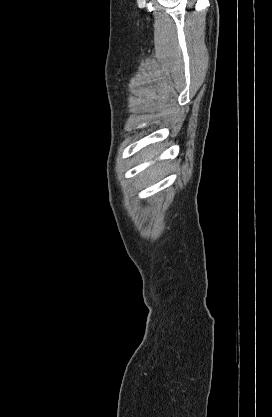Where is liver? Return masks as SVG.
I'll use <instances>...</instances> for the list:
<instances>
[{
  "mask_svg": "<svg viewBox=\"0 0 272 417\" xmlns=\"http://www.w3.org/2000/svg\"><path fill=\"white\" fill-rule=\"evenodd\" d=\"M154 156L153 153L148 154L147 158H152ZM161 171V165L159 164L158 166L152 167L148 170V173L152 176L154 174H156V172H160Z\"/></svg>",
  "mask_w": 272,
  "mask_h": 417,
  "instance_id": "obj_1",
  "label": "liver"
}]
</instances>
